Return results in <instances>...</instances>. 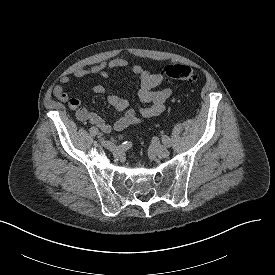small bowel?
Instances as JSON below:
<instances>
[{"label":"small bowel","instance_id":"obj_1","mask_svg":"<svg viewBox=\"0 0 275 275\" xmlns=\"http://www.w3.org/2000/svg\"><path fill=\"white\" fill-rule=\"evenodd\" d=\"M128 64L125 58L117 57L111 60L101 61L88 68H76L71 74L76 78L97 75L107 79L109 77V70L124 68L127 67ZM131 72L139 79L138 97L143 103V106L135 110L129 106L127 100L124 98L116 94H109L107 96L108 103L121 114L112 124L82 106L80 100L76 97H71L62 85H56L53 89V94L59 101L66 103L69 109L75 111L76 118L80 122L89 123L104 133H110L112 129L123 131L143 120L162 114L166 108V102L174 95L172 87L155 90V88L160 86L164 81L161 73L150 72L140 65H133ZM70 82L71 78L69 76L65 75L60 78L61 84H68ZM92 92L95 94H105L106 88L103 85H95L92 88Z\"/></svg>","mask_w":275,"mask_h":275}]
</instances>
